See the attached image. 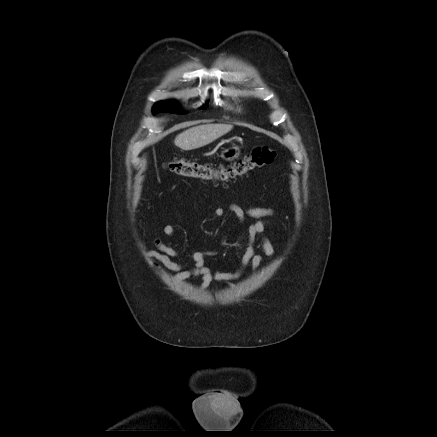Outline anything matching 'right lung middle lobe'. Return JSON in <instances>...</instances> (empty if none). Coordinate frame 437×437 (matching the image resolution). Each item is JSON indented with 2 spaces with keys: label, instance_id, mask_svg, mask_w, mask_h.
<instances>
[{
  "label": "right lung middle lobe",
  "instance_id": "right-lung-middle-lobe-1",
  "mask_svg": "<svg viewBox=\"0 0 437 437\" xmlns=\"http://www.w3.org/2000/svg\"><path fill=\"white\" fill-rule=\"evenodd\" d=\"M207 104L204 105L203 108H206ZM160 112H170V113H181V111L177 108V106L174 103L161 101L154 105L153 107V114L160 113Z\"/></svg>",
  "mask_w": 437,
  "mask_h": 437
}]
</instances>
